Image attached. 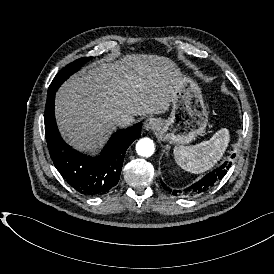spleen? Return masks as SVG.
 <instances>
[{"label": "spleen", "instance_id": "1", "mask_svg": "<svg viewBox=\"0 0 274 274\" xmlns=\"http://www.w3.org/2000/svg\"><path fill=\"white\" fill-rule=\"evenodd\" d=\"M230 141L229 131L222 128L208 141L191 146H176L173 154L182 169L199 174L210 170L223 156Z\"/></svg>", "mask_w": 274, "mask_h": 274}]
</instances>
